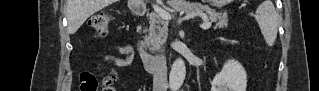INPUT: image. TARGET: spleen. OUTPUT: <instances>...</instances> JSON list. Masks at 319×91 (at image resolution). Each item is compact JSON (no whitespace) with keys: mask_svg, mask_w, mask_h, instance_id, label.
<instances>
[{"mask_svg":"<svg viewBox=\"0 0 319 91\" xmlns=\"http://www.w3.org/2000/svg\"><path fill=\"white\" fill-rule=\"evenodd\" d=\"M255 19L268 46H273L278 31L279 15L271 0L262 2L255 14Z\"/></svg>","mask_w":319,"mask_h":91,"instance_id":"spleen-1","label":"spleen"}]
</instances>
